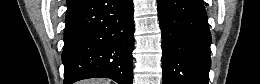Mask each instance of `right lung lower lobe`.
Listing matches in <instances>:
<instances>
[{"mask_svg":"<svg viewBox=\"0 0 260 84\" xmlns=\"http://www.w3.org/2000/svg\"><path fill=\"white\" fill-rule=\"evenodd\" d=\"M132 0H82L67 9L64 84L94 77L132 84Z\"/></svg>","mask_w":260,"mask_h":84,"instance_id":"right-lung-lower-lobe-1","label":"right lung lower lobe"}]
</instances>
